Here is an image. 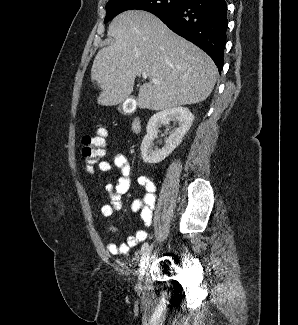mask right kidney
Segmentation results:
<instances>
[{"instance_id": "1", "label": "right kidney", "mask_w": 298, "mask_h": 325, "mask_svg": "<svg viewBox=\"0 0 298 325\" xmlns=\"http://www.w3.org/2000/svg\"><path fill=\"white\" fill-rule=\"evenodd\" d=\"M170 120H177L178 126L176 130L169 134L165 140L166 144L162 148H155L153 150V140L157 138L159 126L161 124H170ZM193 120L194 114L186 106H175V108H166V110L155 112L149 118L146 126L147 134H145L140 146L144 163H161V160H164L176 148L177 144H180Z\"/></svg>"}]
</instances>
